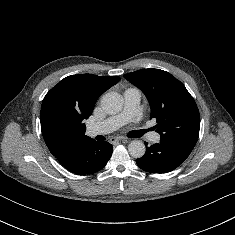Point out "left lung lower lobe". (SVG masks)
I'll return each instance as SVG.
<instances>
[{
    "mask_svg": "<svg viewBox=\"0 0 235 235\" xmlns=\"http://www.w3.org/2000/svg\"><path fill=\"white\" fill-rule=\"evenodd\" d=\"M193 147L186 143L161 139L158 144L147 147L145 155L137 159L136 163L147 172H170L189 156Z\"/></svg>",
    "mask_w": 235,
    "mask_h": 235,
    "instance_id": "0a47b994",
    "label": "left lung lower lobe"
}]
</instances>
